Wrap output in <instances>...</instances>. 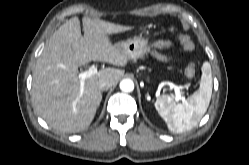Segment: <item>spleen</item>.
Segmentation results:
<instances>
[{
    "instance_id": "spleen-1",
    "label": "spleen",
    "mask_w": 249,
    "mask_h": 165,
    "mask_svg": "<svg viewBox=\"0 0 249 165\" xmlns=\"http://www.w3.org/2000/svg\"><path fill=\"white\" fill-rule=\"evenodd\" d=\"M211 95V66L209 62H204L198 91L180 104H176L170 96L162 95L156 100L155 108L167 123L170 131L182 133L198 124L207 111Z\"/></svg>"
}]
</instances>
